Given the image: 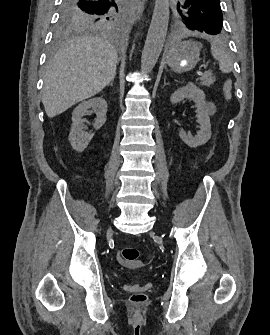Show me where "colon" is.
Returning a JSON list of instances; mask_svg holds the SVG:
<instances>
[{
    "label": "colon",
    "mask_w": 270,
    "mask_h": 335,
    "mask_svg": "<svg viewBox=\"0 0 270 335\" xmlns=\"http://www.w3.org/2000/svg\"><path fill=\"white\" fill-rule=\"evenodd\" d=\"M223 78H229V73H223ZM224 99H231L232 94L231 92H224L223 94ZM225 109L231 108L230 102L224 103ZM139 256V252L136 248H122L118 255V261L123 266L133 265L138 266L137 259ZM132 300L135 304H142L146 300V296L144 294H133Z\"/></svg>",
    "instance_id": "5ec220e1"
}]
</instances>
